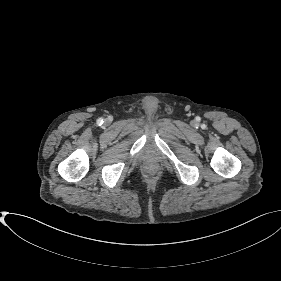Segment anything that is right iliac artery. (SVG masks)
I'll return each instance as SVG.
<instances>
[{
    "mask_svg": "<svg viewBox=\"0 0 281 281\" xmlns=\"http://www.w3.org/2000/svg\"><path fill=\"white\" fill-rule=\"evenodd\" d=\"M102 122H103V120L100 118V119L98 120V123L101 124Z\"/></svg>",
    "mask_w": 281,
    "mask_h": 281,
    "instance_id": "obj_1",
    "label": "right iliac artery"
}]
</instances>
